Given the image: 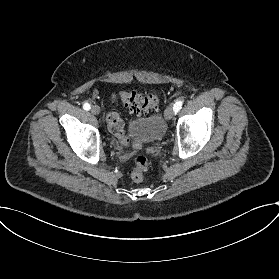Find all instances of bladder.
I'll return each instance as SVG.
<instances>
[{
	"instance_id": "bladder-1",
	"label": "bladder",
	"mask_w": 279,
	"mask_h": 279,
	"mask_svg": "<svg viewBox=\"0 0 279 279\" xmlns=\"http://www.w3.org/2000/svg\"><path fill=\"white\" fill-rule=\"evenodd\" d=\"M126 128L134 141L151 145L163 138L167 131V121L161 115L145 116L132 119Z\"/></svg>"
}]
</instances>
